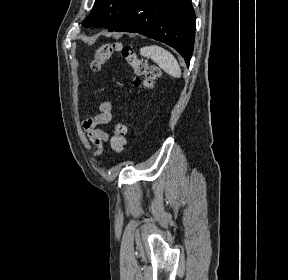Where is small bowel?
I'll list each match as a JSON object with an SVG mask.
<instances>
[{
    "mask_svg": "<svg viewBox=\"0 0 288 280\" xmlns=\"http://www.w3.org/2000/svg\"><path fill=\"white\" fill-rule=\"evenodd\" d=\"M112 119V103L110 101H101L99 103V113L94 116L86 117L82 123L84 131L97 148V154L102 152L104 143H106L109 139L108 134L100 129L99 126L110 123Z\"/></svg>",
    "mask_w": 288,
    "mask_h": 280,
    "instance_id": "c3829d8e",
    "label": "small bowel"
}]
</instances>
